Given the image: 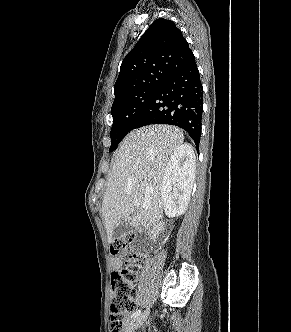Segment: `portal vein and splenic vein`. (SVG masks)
I'll list each match as a JSON object with an SVG mask.
<instances>
[{"label": "portal vein and splenic vein", "mask_w": 291, "mask_h": 332, "mask_svg": "<svg viewBox=\"0 0 291 332\" xmlns=\"http://www.w3.org/2000/svg\"><path fill=\"white\" fill-rule=\"evenodd\" d=\"M135 203H136V205H138V204H139V203H138V201H136Z\"/></svg>", "instance_id": "obj_1"}]
</instances>
